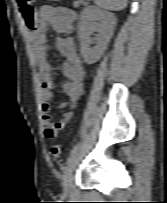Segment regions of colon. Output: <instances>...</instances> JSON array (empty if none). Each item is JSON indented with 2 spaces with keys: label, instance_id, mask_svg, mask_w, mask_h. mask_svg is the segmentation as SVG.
Instances as JSON below:
<instances>
[{
  "label": "colon",
  "instance_id": "1",
  "mask_svg": "<svg viewBox=\"0 0 167 203\" xmlns=\"http://www.w3.org/2000/svg\"><path fill=\"white\" fill-rule=\"evenodd\" d=\"M21 17L25 25L32 29L34 27V4L36 0H16ZM50 155L53 159L59 160L61 157V147L54 144L50 149Z\"/></svg>",
  "mask_w": 167,
  "mask_h": 203
}]
</instances>
